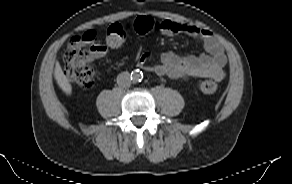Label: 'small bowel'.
<instances>
[{
  "instance_id": "obj_1",
  "label": "small bowel",
  "mask_w": 292,
  "mask_h": 184,
  "mask_svg": "<svg viewBox=\"0 0 292 184\" xmlns=\"http://www.w3.org/2000/svg\"><path fill=\"white\" fill-rule=\"evenodd\" d=\"M140 18L152 19L148 16L138 17L129 24V30L137 33L134 25ZM152 20L156 25V31L163 35L172 36L184 33L199 38L204 44L205 53L181 57L174 52L168 51L162 53L159 63L153 66L147 64L148 55H142L138 60V65L141 68L151 70L160 76H166L174 80L189 77H209L217 81L223 79L227 57L224 48L210 30L184 22Z\"/></svg>"
}]
</instances>
